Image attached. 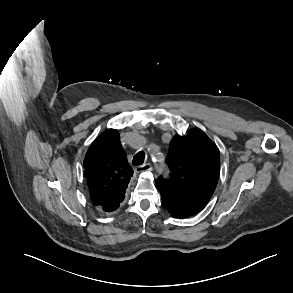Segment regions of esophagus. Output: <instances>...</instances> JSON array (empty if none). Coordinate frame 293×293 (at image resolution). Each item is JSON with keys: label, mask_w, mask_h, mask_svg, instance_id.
Instances as JSON below:
<instances>
[{"label": "esophagus", "mask_w": 293, "mask_h": 293, "mask_svg": "<svg viewBox=\"0 0 293 293\" xmlns=\"http://www.w3.org/2000/svg\"><path fill=\"white\" fill-rule=\"evenodd\" d=\"M151 170H152L151 164L150 163H146V164H143V165L138 166L135 169V172L136 173H141V172L151 171Z\"/></svg>", "instance_id": "obj_1"}]
</instances>
